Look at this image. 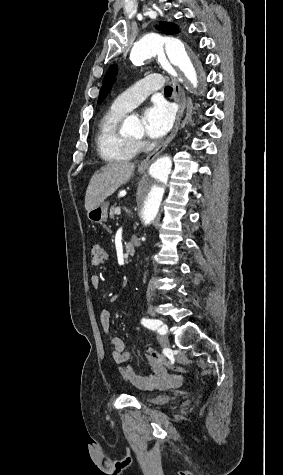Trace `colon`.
Wrapping results in <instances>:
<instances>
[{
    "mask_svg": "<svg viewBox=\"0 0 283 475\" xmlns=\"http://www.w3.org/2000/svg\"><path fill=\"white\" fill-rule=\"evenodd\" d=\"M109 254L100 243H93L91 245L90 260L93 267L102 266L108 260ZM144 356L147 362L160 370L162 367H167L173 371L180 373H189V369L185 366L175 363L172 359L165 358L160 352L156 351L149 345H143Z\"/></svg>",
    "mask_w": 283,
    "mask_h": 475,
    "instance_id": "obj_1",
    "label": "colon"
}]
</instances>
